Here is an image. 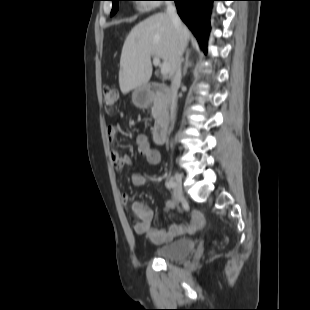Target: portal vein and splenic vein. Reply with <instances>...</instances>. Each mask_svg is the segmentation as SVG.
Instances as JSON below:
<instances>
[{"label": "portal vein and splenic vein", "mask_w": 310, "mask_h": 310, "mask_svg": "<svg viewBox=\"0 0 310 310\" xmlns=\"http://www.w3.org/2000/svg\"><path fill=\"white\" fill-rule=\"evenodd\" d=\"M153 64L154 65H160V59L158 57L153 58ZM160 70L162 75H167L170 71L169 64L166 62H163L162 65H160Z\"/></svg>", "instance_id": "1"}]
</instances>
